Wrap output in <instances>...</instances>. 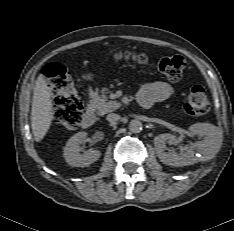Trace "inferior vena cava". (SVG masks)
Returning a JSON list of instances; mask_svg holds the SVG:
<instances>
[{"mask_svg":"<svg viewBox=\"0 0 234 231\" xmlns=\"http://www.w3.org/2000/svg\"><path fill=\"white\" fill-rule=\"evenodd\" d=\"M106 119L111 123H115L116 121L120 119V115L115 114V113H110L107 115Z\"/></svg>","mask_w":234,"mask_h":231,"instance_id":"1","label":"inferior vena cava"}]
</instances>
